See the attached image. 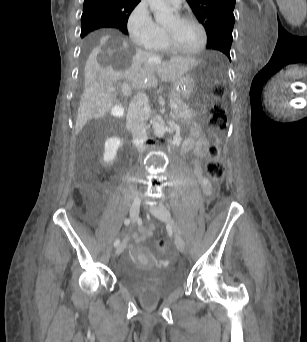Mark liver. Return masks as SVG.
Segmentation results:
<instances>
[{
    "mask_svg": "<svg viewBox=\"0 0 307 342\" xmlns=\"http://www.w3.org/2000/svg\"><path fill=\"white\" fill-rule=\"evenodd\" d=\"M112 36H102L100 44L85 64L84 90L76 118L75 132L79 134L91 118H104L114 106L115 82L126 78L132 88L142 90L157 82H176L179 76L198 66L195 58L172 56L164 60L153 52L140 50L138 44H127L125 40H110Z\"/></svg>",
    "mask_w": 307,
    "mask_h": 342,
    "instance_id": "6515ba94",
    "label": "liver"
}]
</instances>
